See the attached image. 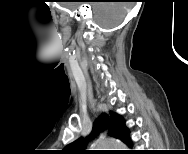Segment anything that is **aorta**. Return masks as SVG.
<instances>
[{"mask_svg":"<svg viewBox=\"0 0 188 154\" xmlns=\"http://www.w3.org/2000/svg\"><path fill=\"white\" fill-rule=\"evenodd\" d=\"M95 150H125L126 146L117 139H97L93 146Z\"/></svg>","mask_w":188,"mask_h":154,"instance_id":"1","label":"aorta"}]
</instances>
